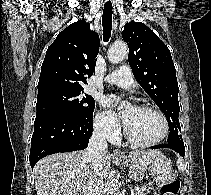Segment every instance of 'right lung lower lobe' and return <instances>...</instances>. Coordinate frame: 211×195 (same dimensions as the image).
I'll return each mask as SVG.
<instances>
[{"instance_id": "right-lung-lower-lobe-1", "label": "right lung lower lobe", "mask_w": 211, "mask_h": 195, "mask_svg": "<svg viewBox=\"0 0 211 195\" xmlns=\"http://www.w3.org/2000/svg\"><path fill=\"white\" fill-rule=\"evenodd\" d=\"M91 118L45 115L35 119L31 139L30 164L59 152L85 149L92 135Z\"/></svg>"}]
</instances>
